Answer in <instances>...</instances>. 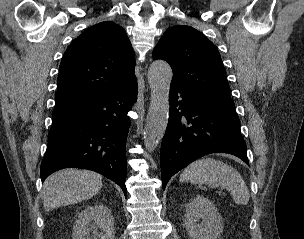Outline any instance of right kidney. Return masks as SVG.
I'll list each match as a JSON object with an SVG mask.
<instances>
[{
    "label": "right kidney",
    "mask_w": 304,
    "mask_h": 239,
    "mask_svg": "<svg viewBox=\"0 0 304 239\" xmlns=\"http://www.w3.org/2000/svg\"><path fill=\"white\" fill-rule=\"evenodd\" d=\"M111 211L103 204L85 208L75 221L72 239H114Z\"/></svg>",
    "instance_id": "right-kidney-1"
}]
</instances>
